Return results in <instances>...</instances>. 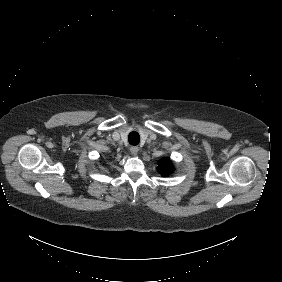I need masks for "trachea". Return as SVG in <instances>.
<instances>
[{
	"instance_id": "1",
	"label": "trachea",
	"mask_w": 282,
	"mask_h": 282,
	"mask_svg": "<svg viewBox=\"0 0 282 282\" xmlns=\"http://www.w3.org/2000/svg\"><path fill=\"white\" fill-rule=\"evenodd\" d=\"M128 141L131 145H138L140 141V135L137 132L132 131L128 135Z\"/></svg>"
}]
</instances>
